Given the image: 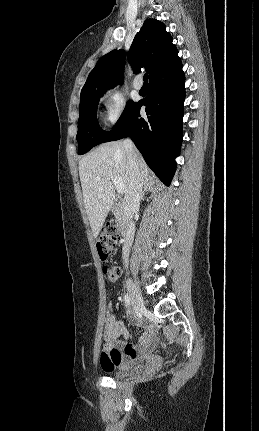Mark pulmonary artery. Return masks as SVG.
I'll list each match as a JSON object with an SVG mask.
<instances>
[{"mask_svg": "<svg viewBox=\"0 0 259 431\" xmlns=\"http://www.w3.org/2000/svg\"><path fill=\"white\" fill-rule=\"evenodd\" d=\"M133 86H134V88H135L136 90H141V88H142L143 84H142V81H141V78H140V77H137V78L134 80Z\"/></svg>", "mask_w": 259, "mask_h": 431, "instance_id": "pulmonary-artery-1", "label": "pulmonary artery"}]
</instances>
